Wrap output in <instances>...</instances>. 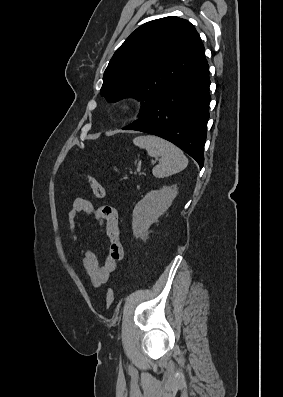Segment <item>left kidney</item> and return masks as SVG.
I'll list each match as a JSON object with an SVG mask.
<instances>
[{"instance_id":"1","label":"left kidney","mask_w":283,"mask_h":397,"mask_svg":"<svg viewBox=\"0 0 283 397\" xmlns=\"http://www.w3.org/2000/svg\"><path fill=\"white\" fill-rule=\"evenodd\" d=\"M177 194L176 186H164L160 190L147 193L133 210V235L143 239L148 234L150 226L168 210Z\"/></svg>"}]
</instances>
